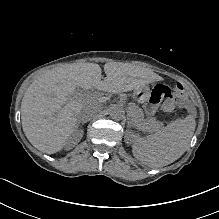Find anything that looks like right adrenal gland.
Instances as JSON below:
<instances>
[{
	"mask_svg": "<svg viewBox=\"0 0 219 219\" xmlns=\"http://www.w3.org/2000/svg\"><path fill=\"white\" fill-rule=\"evenodd\" d=\"M82 123H84V121H82ZM78 125H79V120H77V124H76V126L74 128L75 131H81L82 130V128H78Z\"/></svg>",
	"mask_w": 219,
	"mask_h": 219,
	"instance_id": "right-adrenal-gland-1",
	"label": "right adrenal gland"
}]
</instances>
